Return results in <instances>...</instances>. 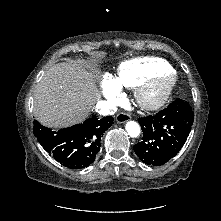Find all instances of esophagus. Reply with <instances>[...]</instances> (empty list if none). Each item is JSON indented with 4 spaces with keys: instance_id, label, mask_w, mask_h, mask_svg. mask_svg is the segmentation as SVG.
<instances>
[{
    "instance_id": "obj_1",
    "label": "esophagus",
    "mask_w": 221,
    "mask_h": 221,
    "mask_svg": "<svg viewBox=\"0 0 221 221\" xmlns=\"http://www.w3.org/2000/svg\"><path fill=\"white\" fill-rule=\"evenodd\" d=\"M128 120H130V115L125 112H121V113L117 114V116H116V121L118 123H125Z\"/></svg>"
}]
</instances>
